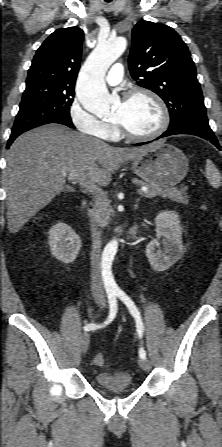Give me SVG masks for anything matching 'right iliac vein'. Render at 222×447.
<instances>
[{
	"label": "right iliac vein",
	"mask_w": 222,
	"mask_h": 447,
	"mask_svg": "<svg viewBox=\"0 0 222 447\" xmlns=\"http://www.w3.org/2000/svg\"><path fill=\"white\" fill-rule=\"evenodd\" d=\"M89 344H90V334L88 332H85L81 336V346H82L83 353H86V351L88 350Z\"/></svg>",
	"instance_id": "obj_1"
}]
</instances>
